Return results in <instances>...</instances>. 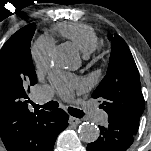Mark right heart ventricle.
I'll return each instance as SVG.
<instances>
[{
    "mask_svg": "<svg viewBox=\"0 0 151 151\" xmlns=\"http://www.w3.org/2000/svg\"><path fill=\"white\" fill-rule=\"evenodd\" d=\"M54 31L61 37L72 41L84 55H89L96 50L99 41L94 29L89 25L68 22L55 26Z\"/></svg>",
    "mask_w": 151,
    "mask_h": 151,
    "instance_id": "obj_1",
    "label": "right heart ventricle"
}]
</instances>
